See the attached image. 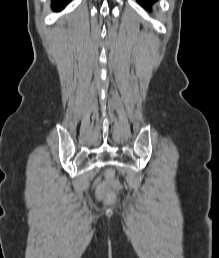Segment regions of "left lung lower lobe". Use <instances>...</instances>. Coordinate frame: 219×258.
I'll return each instance as SVG.
<instances>
[{
    "instance_id": "0a47b994",
    "label": "left lung lower lobe",
    "mask_w": 219,
    "mask_h": 258,
    "mask_svg": "<svg viewBox=\"0 0 219 258\" xmlns=\"http://www.w3.org/2000/svg\"><path fill=\"white\" fill-rule=\"evenodd\" d=\"M142 6L149 8L150 5L154 2H156L157 0H137Z\"/></svg>"
}]
</instances>
